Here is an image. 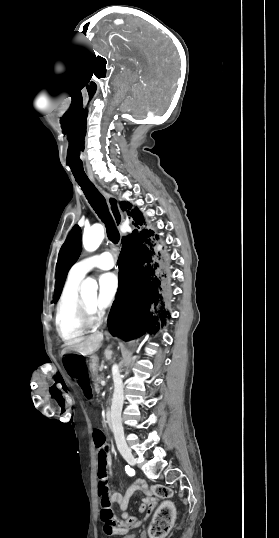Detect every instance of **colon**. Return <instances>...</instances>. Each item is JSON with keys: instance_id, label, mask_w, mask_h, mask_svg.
<instances>
[{"instance_id": "obj_1", "label": "colon", "mask_w": 279, "mask_h": 538, "mask_svg": "<svg viewBox=\"0 0 279 538\" xmlns=\"http://www.w3.org/2000/svg\"><path fill=\"white\" fill-rule=\"evenodd\" d=\"M93 439L95 449L98 455V491L100 496V502L102 511L101 514L105 517H112L114 515L111 502L109 499V484L106 475V461L109 456V447L107 444L104 433L100 430L93 432ZM154 494L161 498H168L171 495L170 489L157 485L153 487ZM174 513L170 504H164L158 511L151 527L150 535L153 538H159L165 535L171 527L173 522Z\"/></svg>"}]
</instances>
